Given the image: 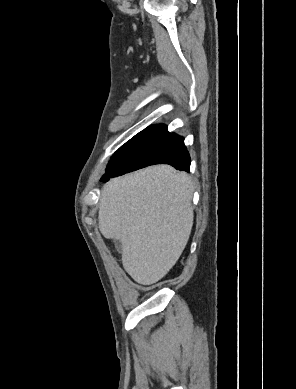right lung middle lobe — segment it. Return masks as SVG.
<instances>
[{"label": "right lung middle lobe", "instance_id": "obj_1", "mask_svg": "<svg viewBox=\"0 0 296 389\" xmlns=\"http://www.w3.org/2000/svg\"><path fill=\"white\" fill-rule=\"evenodd\" d=\"M168 134L167 126L163 124L148 127L139 132L117 150L106 171L141 166L153 148Z\"/></svg>", "mask_w": 296, "mask_h": 389}]
</instances>
